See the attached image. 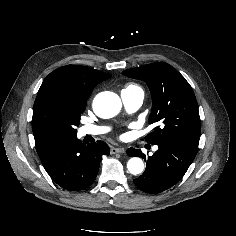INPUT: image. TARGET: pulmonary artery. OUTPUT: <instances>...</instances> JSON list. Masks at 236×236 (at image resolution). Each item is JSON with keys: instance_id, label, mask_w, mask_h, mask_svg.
<instances>
[{"instance_id": "e3ab8cb5", "label": "pulmonary artery", "mask_w": 236, "mask_h": 236, "mask_svg": "<svg viewBox=\"0 0 236 236\" xmlns=\"http://www.w3.org/2000/svg\"><path fill=\"white\" fill-rule=\"evenodd\" d=\"M122 101L126 107V109L130 112H134L138 110L144 100V92L143 90H135V91H122L121 92ZM108 131V128L96 125H85L79 129L80 136L86 135H100Z\"/></svg>"}]
</instances>
